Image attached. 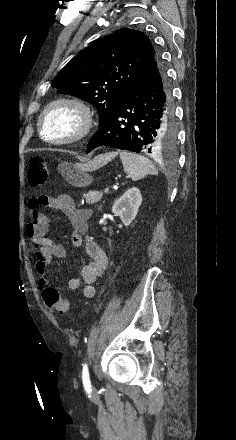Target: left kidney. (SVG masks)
<instances>
[{"mask_svg":"<svg viewBox=\"0 0 236 440\" xmlns=\"http://www.w3.org/2000/svg\"><path fill=\"white\" fill-rule=\"evenodd\" d=\"M141 203L140 190L137 187H132L114 202L112 212L120 217L125 226H129L135 219Z\"/></svg>","mask_w":236,"mask_h":440,"instance_id":"1","label":"left kidney"}]
</instances>
